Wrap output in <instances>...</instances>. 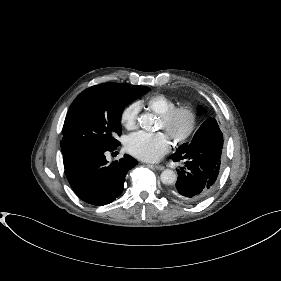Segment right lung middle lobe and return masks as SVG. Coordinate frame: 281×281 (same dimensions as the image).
<instances>
[{
    "mask_svg": "<svg viewBox=\"0 0 281 281\" xmlns=\"http://www.w3.org/2000/svg\"><path fill=\"white\" fill-rule=\"evenodd\" d=\"M150 91L146 86L114 90L96 85L84 90L71 104L64 126L61 150L63 161L86 150L108 149L119 142L121 115L137 97Z\"/></svg>",
    "mask_w": 281,
    "mask_h": 281,
    "instance_id": "1",
    "label": "right lung middle lobe"
}]
</instances>
